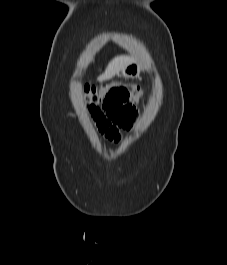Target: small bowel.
<instances>
[{
  "label": "small bowel",
  "instance_id": "1",
  "mask_svg": "<svg viewBox=\"0 0 227 265\" xmlns=\"http://www.w3.org/2000/svg\"><path fill=\"white\" fill-rule=\"evenodd\" d=\"M85 107H88L90 117L93 119L99 132L108 140L118 143L122 137L120 130L112 125V120H108L104 109H100L99 102H85Z\"/></svg>",
  "mask_w": 227,
  "mask_h": 265
}]
</instances>
